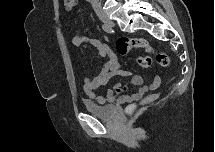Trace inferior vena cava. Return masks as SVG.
Returning <instances> with one entry per match:
<instances>
[{"label": "inferior vena cava", "mask_w": 215, "mask_h": 152, "mask_svg": "<svg viewBox=\"0 0 215 152\" xmlns=\"http://www.w3.org/2000/svg\"><path fill=\"white\" fill-rule=\"evenodd\" d=\"M95 3H98L99 2V0H93Z\"/></svg>", "instance_id": "1"}]
</instances>
